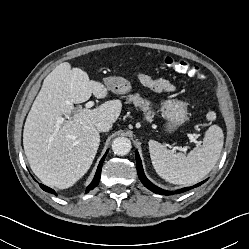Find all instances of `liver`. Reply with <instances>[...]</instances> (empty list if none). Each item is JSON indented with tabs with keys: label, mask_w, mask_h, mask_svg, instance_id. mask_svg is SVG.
Here are the masks:
<instances>
[{
	"label": "liver",
	"mask_w": 249,
	"mask_h": 249,
	"mask_svg": "<svg viewBox=\"0 0 249 249\" xmlns=\"http://www.w3.org/2000/svg\"><path fill=\"white\" fill-rule=\"evenodd\" d=\"M93 95L105 98L108 89L90 80L85 71L68 62L56 66L45 78L23 132L25 155L34 174L47 186L59 189L74 185L90 168L100 144L96 124L114 123L122 104L111 100L94 109H78ZM74 113L65 120L63 116ZM63 118L64 121L59 123Z\"/></svg>",
	"instance_id": "1"
}]
</instances>
